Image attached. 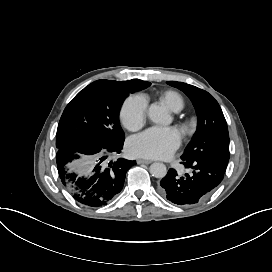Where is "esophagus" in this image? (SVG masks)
Listing matches in <instances>:
<instances>
[{
  "instance_id": "esophagus-1",
  "label": "esophagus",
  "mask_w": 272,
  "mask_h": 272,
  "mask_svg": "<svg viewBox=\"0 0 272 272\" xmlns=\"http://www.w3.org/2000/svg\"><path fill=\"white\" fill-rule=\"evenodd\" d=\"M152 161L147 159H137L138 164H150Z\"/></svg>"
}]
</instances>
